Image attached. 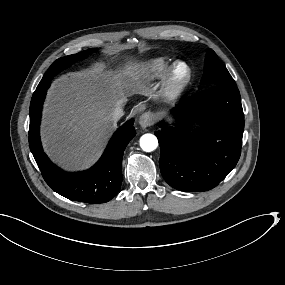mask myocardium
<instances>
[{
  "instance_id": "f54148a6",
  "label": "myocardium",
  "mask_w": 285,
  "mask_h": 285,
  "mask_svg": "<svg viewBox=\"0 0 285 285\" xmlns=\"http://www.w3.org/2000/svg\"><path fill=\"white\" fill-rule=\"evenodd\" d=\"M188 78V72L180 73L175 69L172 70L165 79L159 91V96L164 100H174L181 93Z\"/></svg>"
}]
</instances>
